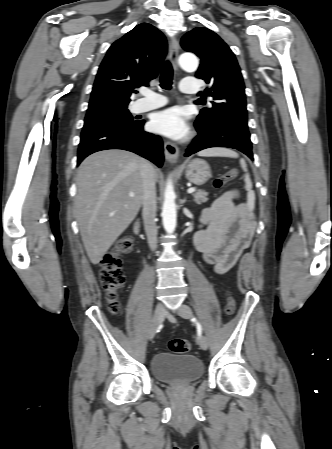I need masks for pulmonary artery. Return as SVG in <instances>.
<instances>
[{"instance_id":"e3ab8cb5","label":"pulmonary artery","mask_w":332,"mask_h":449,"mask_svg":"<svg viewBox=\"0 0 332 449\" xmlns=\"http://www.w3.org/2000/svg\"><path fill=\"white\" fill-rule=\"evenodd\" d=\"M180 91L186 94H196L197 89L193 85L192 80H183L180 83ZM144 98L140 99L136 102L134 109L136 112H144L148 110H152L161 106H164L167 103V99L161 94L146 91L143 93Z\"/></svg>"}]
</instances>
